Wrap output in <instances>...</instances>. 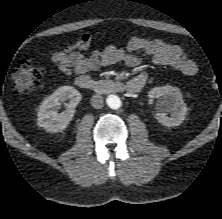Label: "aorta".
Listing matches in <instances>:
<instances>
[{"label":"aorta","mask_w":222,"mask_h":219,"mask_svg":"<svg viewBox=\"0 0 222 219\" xmlns=\"http://www.w3.org/2000/svg\"><path fill=\"white\" fill-rule=\"evenodd\" d=\"M106 102L111 109H118L121 106V100L116 95H109Z\"/></svg>","instance_id":"762f6f07"}]
</instances>
